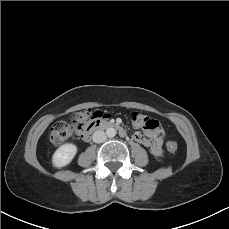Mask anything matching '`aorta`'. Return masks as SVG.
Wrapping results in <instances>:
<instances>
[{
	"instance_id": "762f6f07",
	"label": "aorta",
	"mask_w": 229,
	"mask_h": 229,
	"mask_svg": "<svg viewBox=\"0 0 229 229\" xmlns=\"http://www.w3.org/2000/svg\"><path fill=\"white\" fill-rule=\"evenodd\" d=\"M116 133H117L116 130H115L114 128H112V127L107 128V130H106V135H107L109 138L115 137Z\"/></svg>"
}]
</instances>
